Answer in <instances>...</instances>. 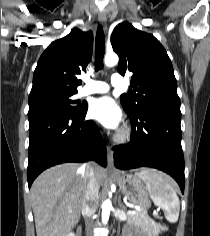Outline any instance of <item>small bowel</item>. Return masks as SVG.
<instances>
[{
    "mask_svg": "<svg viewBox=\"0 0 210 236\" xmlns=\"http://www.w3.org/2000/svg\"><path fill=\"white\" fill-rule=\"evenodd\" d=\"M124 236H145L144 234H137L135 231L133 230H126Z\"/></svg>",
    "mask_w": 210,
    "mask_h": 236,
    "instance_id": "c3829d8e",
    "label": "small bowel"
}]
</instances>
